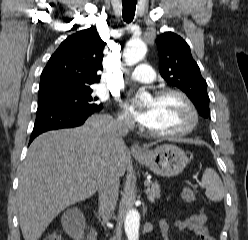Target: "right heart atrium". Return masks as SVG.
I'll list each match as a JSON object with an SVG mask.
<instances>
[{
  "label": "right heart atrium",
  "mask_w": 248,
  "mask_h": 240,
  "mask_svg": "<svg viewBox=\"0 0 248 240\" xmlns=\"http://www.w3.org/2000/svg\"><path fill=\"white\" fill-rule=\"evenodd\" d=\"M117 120L120 124L126 127L132 126V120L126 112H120L117 116Z\"/></svg>",
  "instance_id": "obj_1"
}]
</instances>
